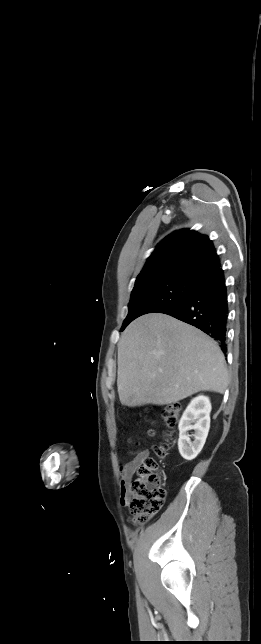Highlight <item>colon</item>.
<instances>
[{"label": "colon", "mask_w": 261, "mask_h": 644, "mask_svg": "<svg viewBox=\"0 0 261 644\" xmlns=\"http://www.w3.org/2000/svg\"><path fill=\"white\" fill-rule=\"evenodd\" d=\"M181 406L177 403L168 404L164 407L162 416L166 426L172 429L180 416ZM153 434V431H150ZM170 435V432H167ZM169 445L163 442L155 447V453L159 458H164ZM138 477L131 483L130 509L134 521L145 523L150 520L162 508L165 500L164 478L160 471L159 461L153 457L143 460L137 469Z\"/></svg>", "instance_id": "5ec220e1"}]
</instances>
